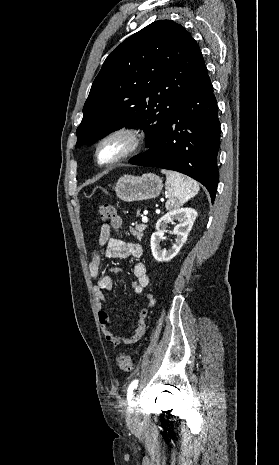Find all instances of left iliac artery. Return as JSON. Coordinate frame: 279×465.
Masks as SVG:
<instances>
[{
	"label": "left iliac artery",
	"mask_w": 279,
	"mask_h": 465,
	"mask_svg": "<svg viewBox=\"0 0 279 465\" xmlns=\"http://www.w3.org/2000/svg\"><path fill=\"white\" fill-rule=\"evenodd\" d=\"M137 384H138V380H134L128 387L127 399L129 401V403L131 402V400L133 398V392H134V389L137 387Z\"/></svg>",
	"instance_id": "obj_1"
}]
</instances>
